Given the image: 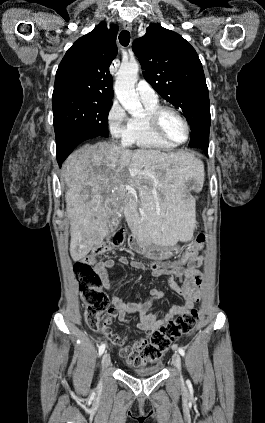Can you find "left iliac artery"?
Masks as SVG:
<instances>
[{"label":"left iliac artery","instance_id":"obj_1","mask_svg":"<svg viewBox=\"0 0 265 423\" xmlns=\"http://www.w3.org/2000/svg\"><path fill=\"white\" fill-rule=\"evenodd\" d=\"M178 352L180 353L181 356H185V351L183 348H178Z\"/></svg>","mask_w":265,"mask_h":423}]
</instances>
